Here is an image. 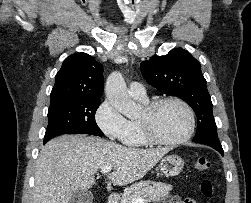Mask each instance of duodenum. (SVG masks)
Here are the masks:
<instances>
[{
    "label": "duodenum",
    "instance_id": "obj_1",
    "mask_svg": "<svg viewBox=\"0 0 251 203\" xmlns=\"http://www.w3.org/2000/svg\"><path fill=\"white\" fill-rule=\"evenodd\" d=\"M117 201H118V194L113 193V194L109 195L106 203H117Z\"/></svg>",
    "mask_w": 251,
    "mask_h": 203
}]
</instances>
